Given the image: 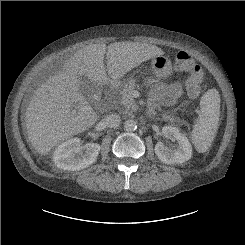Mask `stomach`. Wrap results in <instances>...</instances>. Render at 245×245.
<instances>
[{"mask_svg": "<svg viewBox=\"0 0 245 245\" xmlns=\"http://www.w3.org/2000/svg\"><path fill=\"white\" fill-rule=\"evenodd\" d=\"M151 68L154 74L158 77H167L170 75L172 70L170 60L163 55H158L152 58Z\"/></svg>", "mask_w": 245, "mask_h": 245, "instance_id": "stomach-1", "label": "stomach"}]
</instances>
